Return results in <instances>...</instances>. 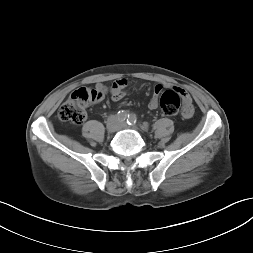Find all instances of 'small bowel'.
Masks as SVG:
<instances>
[{
    "mask_svg": "<svg viewBox=\"0 0 253 253\" xmlns=\"http://www.w3.org/2000/svg\"><path fill=\"white\" fill-rule=\"evenodd\" d=\"M128 85V80L125 78L118 79L113 82L110 93L111 97L115 101H119L124 97L123 89ZM170 87L172 90L177 91L182 99L183 107L181 108L180 115L183 119L188 120L195 115V108L192 106V99L190 95L182 88L176 86H170L166 83H158L155 85L152 97L149 100L148 108L151 110H155L159 106V96L163 89ZM97 89L107 92V88L102 84L97 85Z\"/></svg>",
    "mask_w": 253,
    "mask_h": 253,
    "instance_id": "c3829d8e",
    "label": "small bowel"
}]
</instances>
